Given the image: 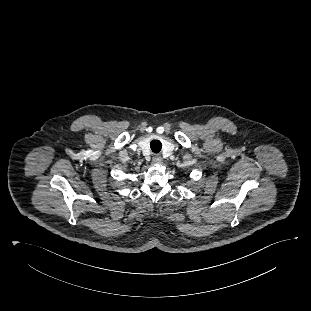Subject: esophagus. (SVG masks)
<instances>
[{
	"mask_svg": "<svg viewBox=\"0 0 311 311\" xmlns=\"http://www.w3.org/2000/svg\"><path fill=\"white\" fill-rule=\"evenodd\" d=\"M152 161L154 164H157V165H160L163 163V159L159 155H154Z\"/></svg>",
	"mask_w": 311,
	"mask_h": 311,
	"instance_id": "esophagus-1",
	"label": "esophagus"
}]
</instances>
